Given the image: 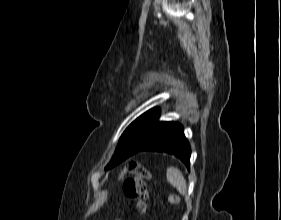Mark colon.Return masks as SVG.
Returning <instances> with one entry per match:
<instances>
[{
  "mask_svg": "<svg viewBox=\"0 0 281 220\" xmlns=\"http://www.w3.org/2000/svg\"><path fill=\"white\" fill-rule=\"evenodd\" d=\"M119 179L123 182L125 196L135 201L138 212L145 217L148 202L147 183L151 180L149 171L141 164L131 162L124 166ZM168 201L177 204L179 197L169 194Z\"/></svg>",
  "mask_w": 281,
  "mask_h": 220,
  "instance_id": "1",
  "label": "colon"
}]
</instances>
